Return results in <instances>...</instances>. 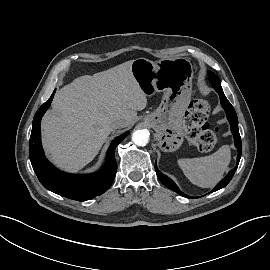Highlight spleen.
Here are the masks:
<instances>
[{"mask_svg": "<svg viewBox=\"0 0 270 270\" xmlns=\"http://www.w3.org/2000/svg\"><path fill=\"white\" fill-rule=\"evenodd\" d=\"M230 160V148L224 145L209 156L179 159L178 165L193 184L211 188L222 179Z\"/></svg>", "mask_w": 270, "mask_h": 270, "instance_id": "3e777b00", "label": "spleen"}]
</instances>
